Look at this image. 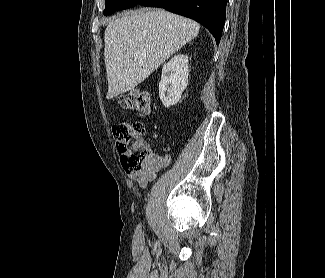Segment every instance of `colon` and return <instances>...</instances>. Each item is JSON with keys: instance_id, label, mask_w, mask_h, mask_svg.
<instances>
[{"instance_id": "5ec220e1", "label": "colon", "mask_w": 325, "mask_h": 278, "mask_svg": "<svg viewBox=\"0 0 325 278\" xmlns=\"http://www.w3.org/2000/svg\"><path fill=\"white\" fill-rule=\"evenodd\" d=\"M118 104L126 110L135 111L143 116L152 112L150 97L141 90H131L118 97ZM116 149L120 154L123 168L129 172H138L151 156V149L143 141L144 126L140 122H120L112 128Z\"/></svg>"}]
</instances>
